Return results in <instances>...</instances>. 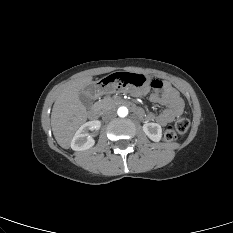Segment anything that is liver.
Instances as JSON below:
<instances>
[{
	"label": "liver",
	"mask_w": 233,
	"mask_h": 233,
	"mask_svg": "<svg viewBox=\"0 0 233 233\" xmlns=\"http://www.w3.org/2000/svg\"><path fill=\"white\" fill-rule=\"evenodd\" d=\"M93 84L92 76L68 82L57 96L51 113V127L57 143L64 149L77 129L87 120V109L79 99L80 92Z\"/></svg>",
	"instance_id": "6515ba94"
}]
</instances>
